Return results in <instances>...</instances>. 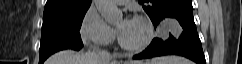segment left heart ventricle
<instances>
[{"mask_svg":"<svg viewBox=\"0 0 242 64\" xmlns=\"http://www.w3.org/2000/svg\"><path fill=\"white\" fill-rule=\"evenodd\" d=\"M123 24H124L123 20H120L118 22L117 26L120 30L122 29ZM121 36L127 43L134 45L144 40L146 36V30L141 23L135 20L132 28L127 33L122 34Z\"/></svg>","mask_w":242,"mask_h":64,"instance_id":"1","label":"left heart ventricle"}]
</instances>
